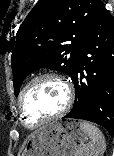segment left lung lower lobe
<instances>
[{
	"label": "left lung lower lobe",
	"mask_w": 114,
	"mask_h": 156,
	"mask_svg": "<svg viewBox=\"0 0 114 156\" xmlns=\"http://www.w3.org/2000/svg\"><path fill=\"white\" fill-rule=\"evenodd\" d=\"M72 80L75 102L64 118L95 122L114 132V20L100 2L82 40ZM65 120V119H64Z\"/></svg>",
	"instance_id": "left-lung-lower-lobe-1"
}]
</instances>
